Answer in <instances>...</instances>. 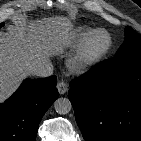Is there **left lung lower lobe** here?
Segmentation results:
<instances>
[{
    "mask_svg": "<svg viewBox=\"0 0 141 141\" xmlns=\"http://www.w3.org/2000/svg\"><path fill=\"white\" fill-rule=\"evenodd\" d=\"M70 87L86 141H141V53L107 60Z\"/></svg>",
    "mask_w": 141,
    "mask_h": 141,
    "instance_id": "1",
    "label": "left lung lower lobe"
}]
</instances>
